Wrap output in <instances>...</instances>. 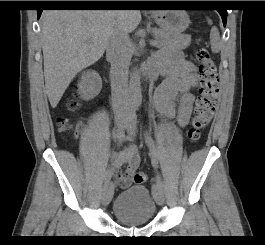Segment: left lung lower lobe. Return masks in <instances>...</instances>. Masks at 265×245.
Instances as JSON below:
<instances>
[{
  "instance_id": "left-lung-lower-lobe-1",
  "label": "left lung lower lobe",
  "mask_w": 265,
  "mask_h": 245,
  "mask_svg": "<svg viewBox=\"0 0 265 245\" xmlns=\"http://www.w3.org/2000/svg\"><path fill=\"white\" fill-rule=\"evenodd\" d=\"M151 4L154 6H178V5L182 4V1H152ZM217 11L220 13V15L222 17L224 26H226L227 10L221 9V10H217Z\"/></svg>"
}]
</instances>
